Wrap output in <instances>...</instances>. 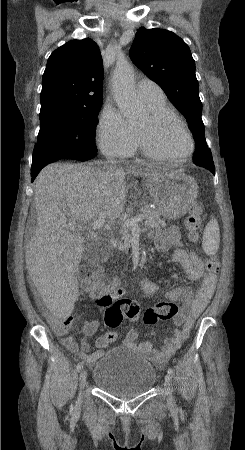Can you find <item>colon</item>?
<instances>
[{
	"instance_id": "1",
	"label": "colon",
	"mask_w": 245,
	"mask_h": 450,
	"mask_svg": "<svg viewBox=\"0 0 245 450\" xmlns=\"http://www.w3.org/2000/svg\"><path fill=\"white\" fill-rule=\"evenodd\" d=\"M203 208L199 203H194L191 207L190 213L185 221V227L191 242L199 240L198 231L201 226ZM206 269L211 274H216L219 270V261L210 257L206 260ZM103 268L101 265L91 263L83 267L80 279L83 285L87 288L96 287L101 284V275ZM106 306L104 313L105 325L108 328L118 327L124 319L129 321H136L138 319V308L130 300L112 301L105 299L101 302ZM181 315V307L173 302H159L153 307L146 310L143 314V324L146 326H153L159 321L174 320ZM44 318L57 331H66L71 325L72 321L69 317H64L53 312H45ZM109 341H114L117 338L115 332L109 331L106 333Z\"/></svg>"
}]
</instances>
